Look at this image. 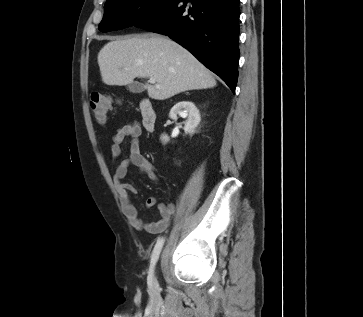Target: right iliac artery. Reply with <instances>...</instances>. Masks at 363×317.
<instances>
[{"mask_svg":"<svg viewBox=\"0 0 363 317\" xmlns=\"http://www.w3.org/2000/svg\"><path fill=\"white\" fill-rule=\"evenodd\" d=\"M164 244V238H159L155 244L152 256H151V264H150V269H149V282H152V277H153V271H154V266L158 260L159 254L161 252V249L163 247Z\"/></svg>","mask_w":363,"mask_h":317,"instance_id":"82829eb1","label":"right iliac artery"}]
</instances>
